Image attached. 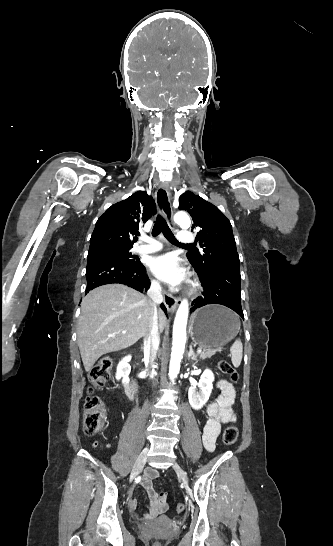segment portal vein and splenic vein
Segmentation results:
<instances>
[{
    "instance_id": "1",
    "label": "portal vein and splenic vein",
    "mask_w": 333,
    "mask_h": 546,
    "mask_svg": "<svg viewBox=\"0 0 333 546\" xmlns=\"http://www.w3.org/2000/svg\"><path fill=\"white\" fill-rule=\"evenodd\" d=\"M123 333H126V331H123ZM202 349H197V353H201Z\"/></svg>"
}]
</instances>
